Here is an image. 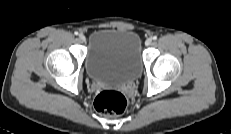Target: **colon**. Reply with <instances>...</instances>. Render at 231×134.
<instances>
[{"label":"colon","instance_id":"1","mask_svg":"<svg viewBox=\"0 0 231 134\" xmlns=\"http://www.w3.org/2000/svg\"><path fill=\"white\" fill-rule=\"evenodd\" d=\"M127 106V97L118 90H103L94 98L95 109L104 116L122 114Z\"/></svg>","mask_w":231,"mask_h":134}]
</instances>
